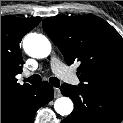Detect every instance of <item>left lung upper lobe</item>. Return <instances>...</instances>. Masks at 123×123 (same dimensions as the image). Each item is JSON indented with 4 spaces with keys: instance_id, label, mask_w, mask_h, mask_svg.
<instances>
[{
    "instance_id": "1",
    "label": "left lung upper lobe",
    "mask_w": 123,
    "mask_h": 123,
    "mask_svg": "<svg viewBox=\"0 0 123 123\" xmlns=\"http://www.w3.org/2000/svg\"><path fill=\"white\" fill-rule=\"evenodd\" d=\"M43 29L68 65L79 61L78 87L123 99V38L91 15L49 17Z\"/></svg>"
}]
</instances>
